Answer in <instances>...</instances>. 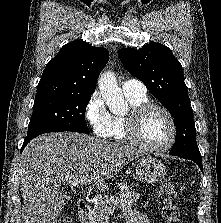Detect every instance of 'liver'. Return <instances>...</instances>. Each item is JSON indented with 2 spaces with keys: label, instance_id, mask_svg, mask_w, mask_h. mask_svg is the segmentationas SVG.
Returning <instances> with one entry per match:
<instances>
[{
  "label": "liver",
  "instance_id": "liver-1",
  "mask_svg": "<svg viewBox=\"0 0 221 223\" xmlns=\"http://www.w3.org/2000/svg\"><path fill=\"white\" fill-rule=\"evenodd\" d=\"M143 154L133 146L72 132L34 138L17 164L22 223H56L65 206L61 185L86 179L90 187L105 189L124 165Z\"/></svg>",
  "mask_w": 221,
  "mask_h": 223
}]
</instances>
